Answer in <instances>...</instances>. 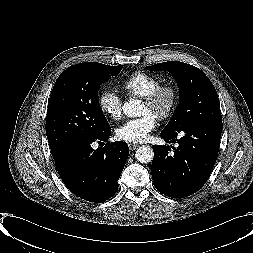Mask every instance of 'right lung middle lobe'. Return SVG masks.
<instances>
[{
  "label": "right lung middle lobe",
  "instance_id": "1",
  "mask_svg": "<svg viewBox=\"0 0 253 253\" xmlns=\"http://www.w3.org/2000/svg\"><path fill=\"white\" fill-rule=\"evenodd\" d=\"M85 62L67 68L58 77L50 95L46 134L53 156L82 136H96L110 125L99 105L100 85L122 70Z\"/></svg>",
  "mask_w": 253,
  "mask_h": 253
}]
</instances>
